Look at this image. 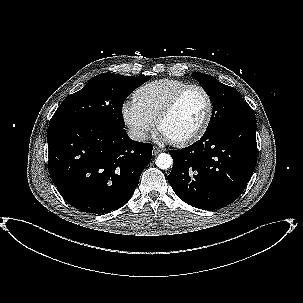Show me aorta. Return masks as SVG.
<instances>
[{
    "label": "aorta",
    "mask_w": 303,
    "mask_h": 303,
    "mask_svg": "<svg viewBox=\"0 0 303 303\" xmlns=\"http://www.w3.org/2000/svg\"><path fill=\"white\" fill-rule=\"evenodd\" d=\"M172 163H173V160H172L171 155L166 154V153L159 154L156 159L157 167L160 169H163V170L170 168Z\"/></svg>",
    "instance_id": "obj_1"
}]
</instances>
